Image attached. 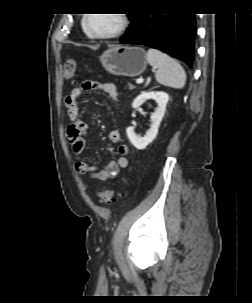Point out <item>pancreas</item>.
Returning a JSON list of instances; mask_svg holds the SVG:
<instances>
[{
    "label": "pancreas",
    "mask_w": 252,
    "mask_h": 303,
    "mask_svg": "<svg viewBox=\"0 0 252 303\" xmlns=\"http://www.w3.org/2000/svg\"><path fill=\"white\" fill-rule=\"evenodd\" d=\"M135 88V86H133L132 84H129V89L133 90Z\"/></svg>",
    "instance_id": "obj_1"
}]
</instances>
